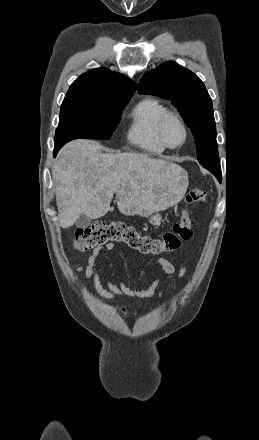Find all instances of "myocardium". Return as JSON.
<instances>
[{
  "label": "myocardium",
  "instance_id": "myocardium-1",
  "mask_svg": "<svg viewBox=\"0 0 259 440\" xmlns=\"http://www.w3.org/2000/svg\"><path fill=\"white\" fill-rule=\"evenodd\" d=\"M170 119H175L180 124V126L182 127L183 132H184L183 140L177 145H170L167 142L166 137H165V127H166L167 122ZM157 136H158L160 143L166 149H177L186 143L188 136H189V129H188L186 122L184 121V119L182 118V116L178 112L168 110L167 112H165L162 115V117L159 120V123L157 126Z\"/></svg>",
  "mask_w": 259,
  "mask_h": 440
}]
</instances>
